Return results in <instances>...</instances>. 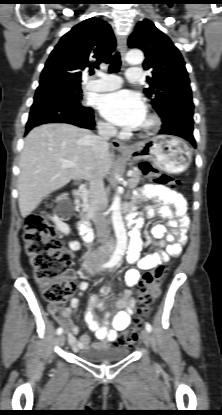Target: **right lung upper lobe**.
Returning a JSON list of instances; mask_svg holds the SVG:
<instances>
[{
	"label": "right lung upper lobe",
	"instance_id": "right-lung-upper-lobe-1",
	"mask_svg": "<svg viewBox=\"0 0 222 415\" xmlns=\"http://www.w3.org/2000/svg\"><path fill=\"white\" fill-rule=\"evenodd\" d=\"M116 41L108 23L90 18L74 26L51 52L40 78L56 77L80 85L82 71L108 63Z\"/></svg>",
	"mask_w": 222,
	"mask_h": 415
}]
</instances>
